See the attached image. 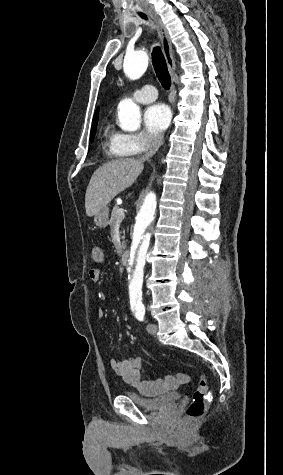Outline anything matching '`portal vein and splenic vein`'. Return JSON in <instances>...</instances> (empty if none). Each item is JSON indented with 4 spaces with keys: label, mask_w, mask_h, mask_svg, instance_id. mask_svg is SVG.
<instances>
[{
    "label": "portal vein and splenic vein",
    "mask_w": 283,
    "mask_h": 475,
    "mask_svg": "<svg viewBox=\"0 0 283 475\" xmlns=\"http://www.w3.org/2000/svg\"><path fill=\"white\" fill-rule=\"evenodd\" d=\"M121 214H122V216H123V214H124V210H121Z\"/></svg>",
    "instance_id": "portal-vein-and-splenic-vein-1"
}]
</instances>
